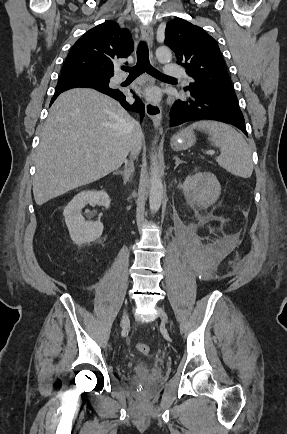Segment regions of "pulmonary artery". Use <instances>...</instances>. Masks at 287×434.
Returning a JSON list of instances; mask_svg holds the SVG:
<instances>
[{"label":"pulmonary artery","mask_w":287,"mask_h":434,"mask_svg":"<svg viewBox=\"0 0 287 434\" xmlns=\"http://www.w3.org/2000/svg\"><path fill=\"white\" fill-rule=\"evenodd\" d=\"M165 74L171 77H184L186 78L187 81L190 80L189 78L186 77V73L184 69L181 66L174 65V64H165ZM116 81L117 82L124 81V76L118 75L116 77Z\"/></svg>","instance_id":"pulmonary-artery-1"}]
</instances>
